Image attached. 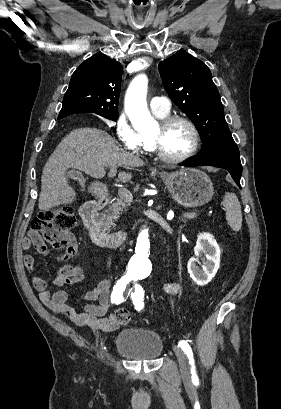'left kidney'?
Returning a JSON list of instances; mask_svg holds the SVG:
<instances>
[{"instance_id": "left-kidney-1", "label": "left kidney", "mask_w": 281, "mask_h": 409, "mask_svg": "<svg viewBox=\"0 0 281 409\" xmlns=\"http://www.w3.org/2000/svg\"><path fill=\"white\" fill-rule=\"evenodd\" d=\"M197 237L194 257L188 261L187 269L192 281L204 287L215 277L220 267V247L209 233H199Z\"/></svg>"}]
</instances>
